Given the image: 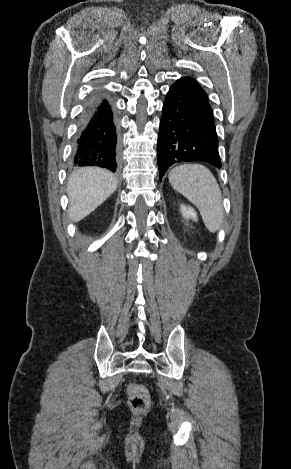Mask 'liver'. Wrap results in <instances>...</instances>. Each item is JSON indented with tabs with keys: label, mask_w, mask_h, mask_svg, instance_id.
Returning <instances> with one entry per match:
<instances>
[{
	"label": "liver",
	"mask_w": 291,
	"mask_h": 469,
	"mask_svg": "<svg viewBox=\"0 0 291 469\" xmlns=\"http://www.w3.org/2000/svg\"><path fill=\"white\" fill-rule=\"evenodd\" d=\"M117 189L115 176L103 169L84 168L69 178L67 193L70 200L69 216L79 222Z\"/></svg>",
	"instance_id": "liver-1"
}]
</instances>
